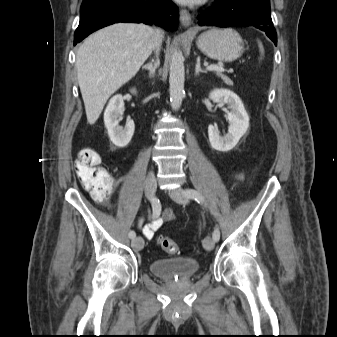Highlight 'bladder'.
<instances>
[{
    "label": "bladder",
    "instance_id": "31cf9c89",
    "mask_svg": "<svg viewBox=\"0 0 337 337\" xmlns=\"http://www.w3.org/2000/svg\"><path fill=\"white\" fill-rule=\"evenodd\" d=\"M199 269L198 262L184 257L156 259L150 264L151 272L161 278L192 277Z\"/></svg>",
    "mask_w": 337,
    "mask_h": 337
}]
</instances>
